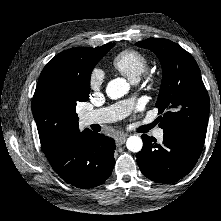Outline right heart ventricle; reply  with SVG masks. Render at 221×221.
<instances>
[{
	"mask_svg": "<svg viewBox=\"0 0 221 221\" xmlns=\"http://www.w3.org/2000/svg\"><path fill=\"white\" fill-rule=\"evenodd\" d=\"M112 66L131 82H137L149 66L148 58L136 49H124L111 59Z\"/></svg>",
	"mask_w": 221,
	"mask_h": 221,
	"instance_id": "1",
	"label": "right heart ventricle"
}]
</instances>
